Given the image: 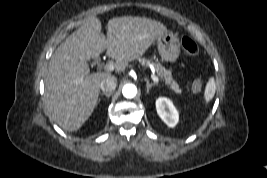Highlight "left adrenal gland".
<instances>
[{"label": "left adrenal gland", "instance_id": "1", "mask_svg": "<svg viewBox=\"0 0 267 178\" xmlns=\"http://www.w3.org/2000/svg\"><path fill=\"white\" fill-rule=\"evenodd\" d=\"M146 81V87H147V93H149L150 89L155 85L154 83H150L148 79H145Z\"/></svg>", "mask_w": 267, "mask_h": 178}]
</instances>
